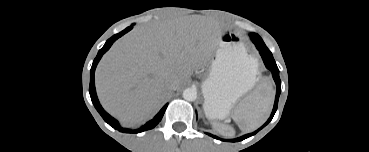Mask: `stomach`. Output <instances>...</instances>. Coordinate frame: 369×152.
Here are the masks:
<instances>
[{
  "instance_id": "1",
  "label": "stomach",
  "mask_w": 369,
  "mask_h": 152,
  "mask_svg": "<svg viewBox=\"0 0 369 152\" xmlns=\"http://www.w3.org/2000/svg\"><path fill=\"white\" fill-rule=\"evenodd\" d=\"M257 81V62L248 55L240 35L233 29L224 30L209 76L202 84L206 116L212 119L226 118L236 102Z\"/></svg>"
}]
</instances>
